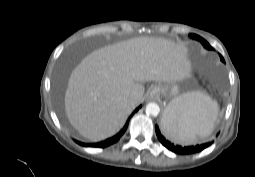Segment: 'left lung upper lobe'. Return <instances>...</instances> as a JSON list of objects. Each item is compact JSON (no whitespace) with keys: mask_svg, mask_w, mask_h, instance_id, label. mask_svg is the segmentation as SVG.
Instances as JSON below:
<instances>
[{"mask_svg":"<svg viewBox=\"0 0 255 177\" xmlns=\"http://www.w3.org/2000/svg\"><path fill=\"white\" fill-rule=\"evenodd\" d=\"M190 37L193 38V39H196V40L200 41V42L202 43V45H203L206 49H208V50H212V49H213V48L209 45V43H208L206 40H204L202 37H200V36H198V35H196V34H190ZM220 59H221L222 62H225L224 59H223V57H222L221 55H220Z\"/></svg>","mask_w":255,"mask_h":177,"instance_id":"5c2ea615","label":"left lung upper lobe"}]
</instances>
